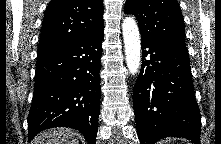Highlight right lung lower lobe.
<instances>
[{
	"mask_svg": "<svg viewBox=\"0 0 221 144\" xmlns=\"http://www.w3.org/2000/svg\"><path fill=\"white\" fill-rule=\"evenodd\" d=\"M104 28L37 57L28 137L53 127L79 130L95 144L101 98L99 71Z\"/></svg>",
	"mask_w": 221,
	"mask_h": 144,
	"instance_id": "1",
	"label": "right lung lower lobe"
}]
</instances>
